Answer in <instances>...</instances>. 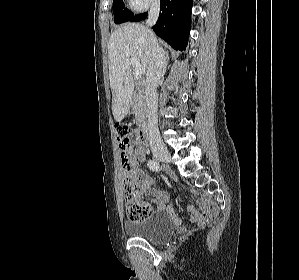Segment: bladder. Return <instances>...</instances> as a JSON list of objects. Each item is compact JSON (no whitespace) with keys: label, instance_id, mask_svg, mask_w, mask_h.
I'll use <instances>...</instances> for the list:
<instances>
[{"label":"bladder","instance_id":"obj_1","mask_svg":"<svg viewBox=\"0 0 299 280\" xmlns=\"http://www.w3.org/2000/svg\"><path fill=\"white\" fill-rule=\"evenodd\" d=\"M175 223L172 217L163 211L150 214L142 221L126 222L124 225L127 235L140 238L152 243L168 239L174 232Z\"/></svg>","mask_w":299,"mask_h":280}]
</instances>
